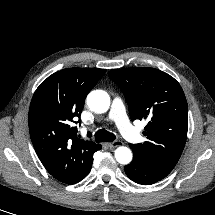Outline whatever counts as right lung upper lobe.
<instances>
[{
  "mask_svg": "<svg viewBox=\"0 0 215 215\" xmlns=\"http://www.w3.org/2000/svg\"><path fill=\"white\" fill-rule=\"evenodd\" d=\"M106 69L66 68L44 80L29 108V131L35 151L57 180L74 184L91 169L100 145L77 138V127L85 98Z\"/></svg>",
  "mask_w": 215,
  "mask_h": 215,
  "instance_id": "obj_1",
  "label": "right lung upper lobe"
}]
</instances>
